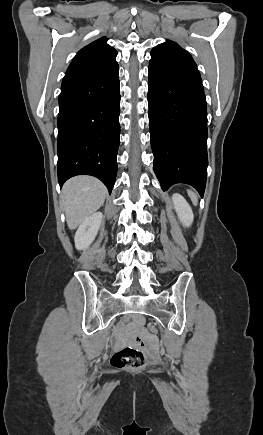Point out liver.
I'll use <instances>...</instances> for the list:
<instances>
[{
    "label": "liver",
    "mask_w": 263,
    "mask_h": 435,
    "mask_svg": "<svg viewBox=\"0 0 263 435\" xmlns=\"http://www.w3.org/2000/svg\"><path fill=\"white\" fill-rule=\"evenodd\" d=\"M106 187L91 176H76L62 188V202L69 229L77 228L104 203Z\"/></svg>",
    "instance_id": "liver-1"
}]
</instances>
